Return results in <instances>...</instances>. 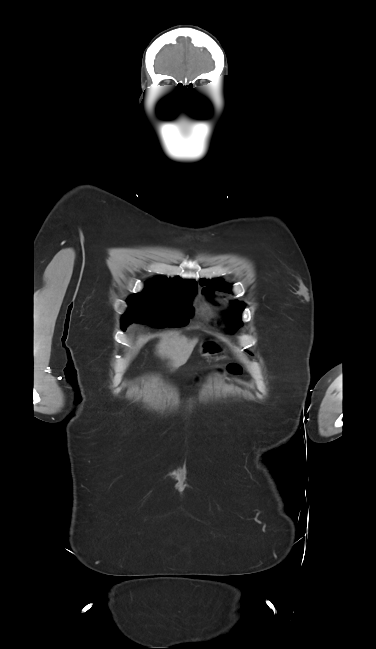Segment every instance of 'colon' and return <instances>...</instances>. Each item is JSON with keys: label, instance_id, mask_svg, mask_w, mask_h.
Segmentation results:
<instances>
[{"label": "colon", "instance_id": "obj_1", "mask_svg": "<svg viewBox=\"0 0 376 649\" xmlns=\"http://www.w3.org/2000/svg\"><path fill=\"white\" fill-rule=\"evenodd\" d=\"M227 370L235 375L241 374V367L238 364H230Z\"/></svg>", "mask_w": 376, "mask_h": 649}]
</instances>
